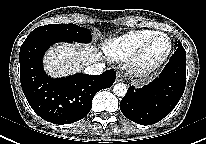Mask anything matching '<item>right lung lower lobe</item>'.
I'll return each instance as SVG.
<instances>
[{
    "label": "right lung lower lobe",
    "mask_w": 206,
    "mask_h": 144,
    "mask_svg": "<svg viewBox=\"0 0 206 144\" xmlns=\"http://www.w3.org/2000/svg\"><path fill=\"white\" fill-rule=\"evenodd\" d=\"M62 40L43 35L28 36L20 48V80L31 108L42 119L54 124H70L91 110L94 95L115 82L116 72L101 75L76 74L53 79L44 72L42 58L52 44Z\"/></svg>",
    "instance_id": "98d812e1"
}]
</instances>
